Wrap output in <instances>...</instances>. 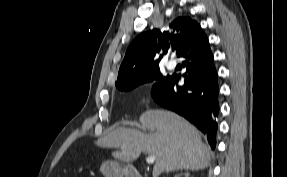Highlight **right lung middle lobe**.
Here are the masks:
<instances>
[{"instance_id": "1", "label": "right lung middle lobe", "mask_w": 287, "mask_h": 177, "mask_svg": "<svg viewBox=\"0 0 287 177\" xmlns=\"http://www.w3.org/2000/svg\"><path fill=\"white\" fill-rule=\"evenodd\" d=\"M165 78L166 77L162 76V74L160 73L159 68H157V69L153 70L152 72L148 73L147 75L143 76L140 79H137V80L131 81V82H127V83H123V84H119V85H116V87L121 91H130L140 84L152 82L154 80H158V82L159 81L162 82L165 80Z\"/></svg>"}]
</instances>
